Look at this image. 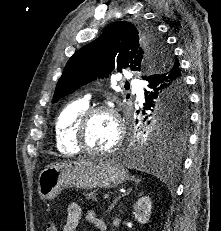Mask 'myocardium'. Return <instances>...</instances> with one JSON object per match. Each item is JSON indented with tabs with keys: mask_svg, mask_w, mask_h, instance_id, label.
<instances>
[{
	"mask_svg": "<svg viewBox=\"0 0 221 231\" xmlns=\"http://www.w3.org/2000/svg\"><path fill=\"white\" fill-rule=\"evenodd\" d=\"M99 113L109 114L113 118L118 131L116 142L109 149L102 150V151L90 149L87 145V140H86L88 124L90 120L96 114ZM124 137H125V125L121 119L118 109L114 106L96 105V106L89 107L81 114V116L79 117L76 123L75 143L81 151L89 155L107 156L114 153L121 147Z\"/></svg>",
	"mask_w": 221,
	"mask_h": 231,
	"instance_id": "f54148a6",
	"label": "myocardium"
}]
</instances>
